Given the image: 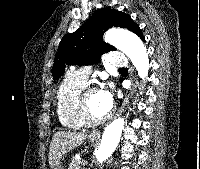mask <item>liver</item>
I'll use <instances>...</instances> for the list:
<instances>
[{
	"instance_id": "6515ba94",
	"label": "liver",
	"mask_w": 200,
	"mask_h": 169,
	"mask_svg": "<svg viewBox=\"0 0 200 169\" xmlns=\"http://www.w3.org/2000/svg\"><path fill=\"white\" fill-rule=\"evenodd\" d=\"M87 133L61 131L54 134L49 147V165L56 166L66 153L80 146L87 138Z\"/></svg>"
}]
</instances>
